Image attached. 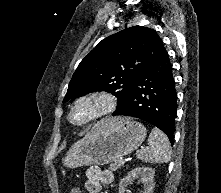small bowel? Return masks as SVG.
Masks as SVG:
<instances>
[{
	"label": "small bowel",
	"instance_id": "c3829d8e",
	"mask_svg": "<svg viewBox=\"0 0 221 193\" xmlns=\"http://www.w3.org/2000/svg\"><path fill=\"white\" fill-rule=\"evenodd\" d=\"M85 175V188L89 193H102L103 187L111 184L114 180L113 173L110 170L99 166L87 168ZM71 193H77L76 189H72Z\"/></svg>",
	"mask_w": 221,
	"mask_h": 193
}]
</instances>
